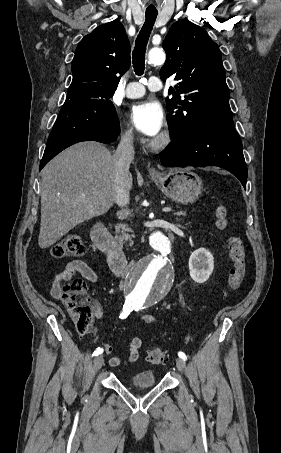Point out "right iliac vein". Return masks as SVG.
<instances>
[{
    "label": "right iliac vein",
    "instance_id": "right-iliac-vein-1",
    "mask_svg": "<svg viewBox=\"0 0 281 453\" xmlns=\"http://www.w3.org/2000/svg\"><path fill=\"white\" fill-rule=\"evenodd\" d=\"M93 366H92V371L93 372H98L100 368L103 367V357L102 356H98L97 358H95V360L93 361Z\"/></svg>",
    "mask_w": 281,
    "mask_h": 453
}]
</instances>
